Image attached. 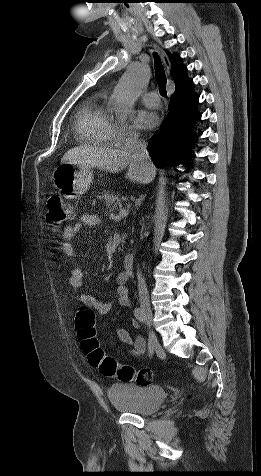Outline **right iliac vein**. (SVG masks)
I'll return each instance as SVG.
<instances>
[{"label": "right iliac vein", "mask_w": 261, "mask_h": 476, "mask_svg": "<svg viewBox=\"0 0 261 476\" xmlns=\"http://www.w3.org/2000/svg\"><path fill=\"white\" fill-rule=\"evenodd\" d=\"M144 314H145V320H146V323L149 325V326H152L153 324V315H152V312L149 310V309H144ZM151 336L153 337V339L155 340V345L154 346H158V342H157V338L155 336V333L152 332L151 333Z\"/></svg>", "instance_id": "right-iliac-vein-1"}]
</instances>
